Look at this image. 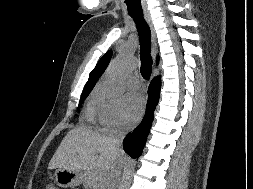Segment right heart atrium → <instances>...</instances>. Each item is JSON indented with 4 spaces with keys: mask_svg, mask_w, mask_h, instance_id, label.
Instances as JSON below:
<instances>
[{
    "mask_svg": "<svg viewBox=\"0 0 253 189\" xmlns=\"http://www.w3.org/2000/svg\"><path fill=\"white\" fill-rule=\"evenodd\" d=\"M97 111L100 125L109 131L124 128L123 109L118 102L108 99L98 91Z\"/></svg>",
    "mask_w": 253,
    "mask_h": 189,
    "instance_id": "1",
    "label": "right heart atrium"
}]
</instances>
